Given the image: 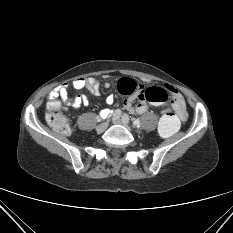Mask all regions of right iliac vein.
Wrapping results in <instances>:
<instances>
[{
    "instance_id": "1",
    "label": "right iliac vein",
    "mask_w": 233,
    "mask_h": 233,
    "mask_svg": "<svg viewBox=\"0 0 233 233\" xmlns=\"http://www.w3.org/2000/svg\"><path fill=\"white\" fill-rule=\"evenodd\" d=\"M108 125H109V124H108V121L99 124V125L97 126V129H96L97 132H99V133L104 132V131L107 129Z\"/></svg>"
}]
</instances>
